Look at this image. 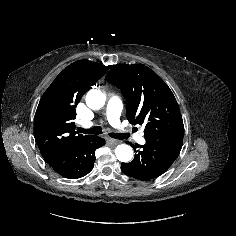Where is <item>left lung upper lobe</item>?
Returning a JSON list of instances; mask_svg holds the SVG:
<instances>
[{"mask_svg":"<svg viewBox=\"0 0 236 236\" xmlns=\"http://www.w3.org/2000/svg\"><path fill=\"white\" fill-rule=\"evenodd\" d=\"M105 79L122 91L130 123L145 125V139L184 135L182 116L172 91L150 68L119 64Z\"/></svg>","mask_w":236,"mask_h":236,"instance_id":"left-lung-upper-lobe-1","label":"left lung upper lobe"}]
</instances>
